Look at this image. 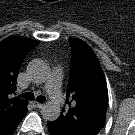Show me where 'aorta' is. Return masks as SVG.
<instances>
[{
	"label": "aorta",
	"instance_id": "obj_1",
	"mask_svg": "<svg viewBox=\"0 0 135 135\" xmlns=\"http://www.w3.org/2000/svg\"><path fill=\"white\" fill-rule=\"evenodd\" d=\"M28 72L36 81H43L48 75V66L39 59L31 61L28 65ZM43 118L48 121H55L60 116V107L48 102L42 109Z\"/></svg>",
	"mask_w": 135,
	"mask_h": 135
}]
</instances>
